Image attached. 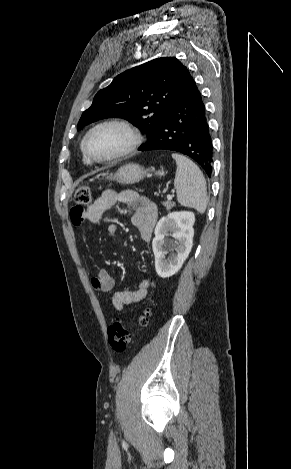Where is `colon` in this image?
Wrapping results in <instances>:
<instances>
[{"label": "colon", "instance_id": "obj_1", "mask_svg": "<svg viewBox=\"0 0 291 469\" xmlns=\"http://www.w3.org/2000/svg\"><path fill=\"white\" fill-rule=\"evenodd\" d=\"M92 201V193L89 187L79 186L75 191V202L77 206L72 209L71 214L76 216L83 209V206L89 205ZM149 311L145 310L138 318L139 325H146L148 322ZM108 342L112 349L116 352L125 351L131 341V334L128 324L121 318L116 320L108 326L107 329Z\"/></svg>", "mask_w": 291, "mask_h": 469}]
</instances>
